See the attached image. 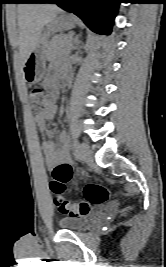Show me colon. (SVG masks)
<instances>
[{"label":"colon","mask_w":166,"mask_h":267,"mask_svg":"<svg viewBox=\"0 0 166 267\" xmlns=\"http://www.w3.org/2000/svg\"><path fill=\"white\" fill-rule=\"evenodd\" d=\"M55 94L46 92L42 88L34 87L29 91V101L31 109L38 114L52 107ZM53 180L50 183L51 192L56 196L55 205L58 210L66 215L75 217L87 215L92 205L101 204L107 201L111 192L99 183H90L84 189L86 200L81 202H71L61 196L65 184L72 178V169L68 167H56L53 171Z\"/></svg>","instance_id":"1"}]
</instances>
